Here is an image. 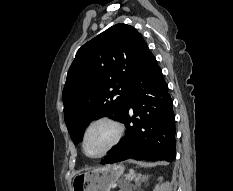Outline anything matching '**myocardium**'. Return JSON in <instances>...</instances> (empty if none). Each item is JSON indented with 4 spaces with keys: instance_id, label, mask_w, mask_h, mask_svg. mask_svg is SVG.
I'll list each match as a JSON object with an SVG mask.
<instances>
[{
    "instance_id": "myocardium-1",
    "label": "myocardium",
    "mask_w": 233,
    "mask_h": 191,
    "mask_svg": "<svg viewBox=\"0 0 233 191\" xmlns=\"http://www.w3.org/2000/svg\"><path fill=\"white\" fill-rule=\"evenodd\" d=\"M97 124H108L113 129L114 135L108 146L98 155H90L86 151L85 142L89 130ZM124 127L121 122L110 116H100L91 120L84 128L81 138V148L85 156L91 159H100L113 150L122 140Z\"/></svg>"
}]
</instances>
